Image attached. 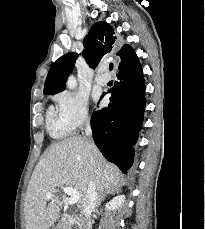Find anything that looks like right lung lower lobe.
<instances>
[{
  "label": "right lung lower lobe",
  "mask_w": 205,
  "mask_h": 229,
  "mask_svg": "<svg viewBox=\"0 0 205 229\" xmlns=\"http://www.w3.org/2000/svg\"><path fill=\"white\" fill-rule=\"evenodd\" d=\"M117 77L119 82L108 91L111 93L108 107L92 114L91 127L94 142L104 157L126 173L133 163V145L145 108V84L139 60L120 68Z\"/></svg>",
  "instance_id": "1"
}]
</instances>
